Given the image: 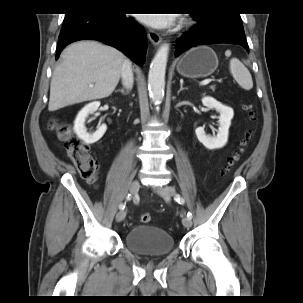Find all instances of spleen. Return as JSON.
Returning <instances> with one entry per match:
<instances>
[{"label":"spleen","mask_w":303,"mask_h":303,"mask_svg":"<svg viewBox=\"0 0 303 303\" xmlns=\"http://www.w3.org/2000/svg\"><path fill=\"white\" fill-rule=\"evenodd\" d=\"M229 70L237 83L245 90L253 87L252 76L245 65L237 58L230 59Z\"/></svg>","instance_id":"spleen-1"}]
</instances>
